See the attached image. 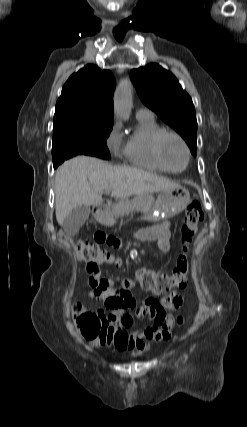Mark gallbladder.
I'll return each mask as SVG.
<instances>
[{
  "label": "gallbladder",
  "mask_w": 247,
  "mask_h": 427,
  "mask_svg": "<svg viewBox=\"0 0 247 427\" xmlns=\"http://www.w3.org/2000/svg\"><path fill=\"white\" fill-rule=\"evenodd\" d=\"M90 214L89 206L82 205L74 208L64 219L63 228L67 234L74 236L86 222Z\"/></svg>",
  "instance_id": "obj_1"
}]
</instances>
